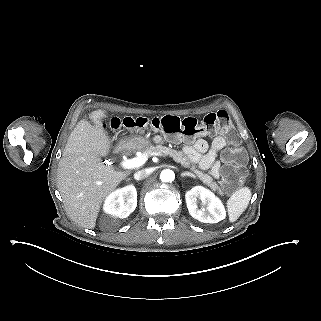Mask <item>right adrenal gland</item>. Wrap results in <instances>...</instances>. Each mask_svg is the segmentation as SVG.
Here are the masks:
<instances>
[{
	"mask_svg": "<svg viewBox=\"0 0 321 321\" xmlns=\"http://www.w3.org/2000/svg\"><path fill=\"white\" fill-rule=\"evenodd\" d=\"M126 181H131V178H127Z\"/></svg>",
	"mask_w": 321,
	"mask_h": 321,
	"instance_id": "1",
	"label": "right adrenal gland"
}]
</instances>
